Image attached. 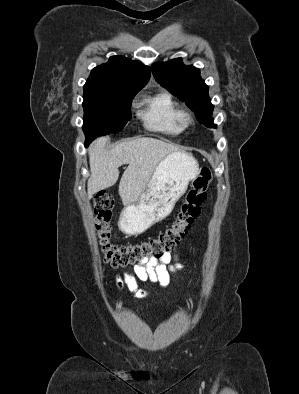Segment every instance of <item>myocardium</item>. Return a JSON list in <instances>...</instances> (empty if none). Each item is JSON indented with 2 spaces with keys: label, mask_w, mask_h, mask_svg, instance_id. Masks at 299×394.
Instances as JSON below:
<instances>
[{
  "label": "myocardium",
  "mask_w": 299,
  "mask_h": 394,
  "mask_svg": "<svg viewBox=\"0 0 299 394\" xmlns=\"http://www.w3.org/2000/svg\"><path fill=\"white\" fill-rule=\"evenodd\" d=\"M194 121V118L191 114L185 113L184 114V123L186 126L191 125Z\"/></svg>",
  "instance_id": "myocardium-1"
}]
</instances>
